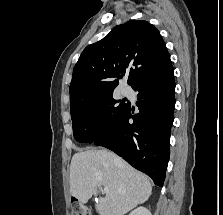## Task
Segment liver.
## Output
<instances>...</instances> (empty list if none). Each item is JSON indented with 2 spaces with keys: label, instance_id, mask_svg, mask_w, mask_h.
Masks as SVG:
<instances>
[{
  "label": "liver",
  "instance_id": "6515ba94",
  "mask_svg": "<svg viewBox=\"0 0 223 215\" xmlns=\"http://www.w3.org/2000/svg\"><path fill=\"white\" fill-rule=\"evenodd\" d=\"M109 193L99 197L96 209L100 215H124L151 195L152 185L144 173L107 149H87L74 153L70 163V193L82 203L98 187Z\"/></svg>",
  "mask_w": 223,
  "mask_h": 215
}]
</instances>
